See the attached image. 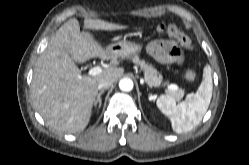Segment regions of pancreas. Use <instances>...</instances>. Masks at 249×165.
Instances as JSON below:
<instances>
[{
	"label": "pancreas",
	"mask_w": 249,
	"mask_h": 165,
	"mask_svg": "<svg viewBox=\"0 0 249 165\" xmlns=\"http://www.w3.org/2000/svg\"><path fill=\"white\" fill-rule=\"evenodd\" d=\"M133 62L137 65H140L141 69L144 71V80L150 86H159L162 82V76L157 72V70L150 64L145 61H141L138 56L132 58ZM169 94L176 100H180L184 91L182 89L169 90Z\"/></svg>",
	"instance_id": "pancreas-1"
}]
</instances>
